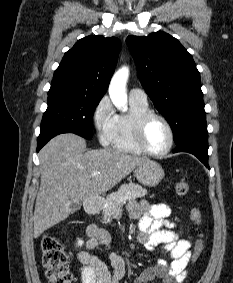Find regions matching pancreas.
<instances>
[{
  "instance_id": "pancreas-1",
  "label": "pancreas",
  "mask_w": 233,
  "mask_h": 283,
  "mask_svg": "<svg viewBox=\"0 0 233 283\" xmlns=\"http://www.w3.org/2000/svg\"><path fill=\"white\" fill-rule=\"evenodd\" d=\"M146 194L147 190L145 188L132 182L120 186L118 191L109 194L106 198V206L103 209V223H110L114 216L119 215L121 207L126 200L141 198ZM124 196L127 199L120 201V198Z\"/></svg>"
}]
</instances>
